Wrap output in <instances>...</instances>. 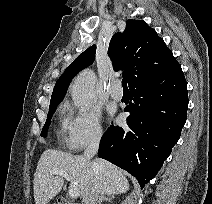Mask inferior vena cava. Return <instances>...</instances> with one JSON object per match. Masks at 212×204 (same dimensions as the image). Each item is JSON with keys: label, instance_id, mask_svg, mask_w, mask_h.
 <instances>
[{"label": "inferior vena cava", "instance_id": "inferior-vena-cava-1", "mask_svg": "<svg viewBox=\"0 0 212 204\" xmlns=\"http://www.w3.org/2000/svg\"><path fill=\"white\" fill-rule=\"evenodd\" d=\"M101 136L102 134L98 132L92 137L83 154L86 160L90 161V159L98 152ZM97 198V191L91 189L83 196L82 204H96Z\"/></svg>", "mask_w": 212, "mask_h": 204}]
</instances>
